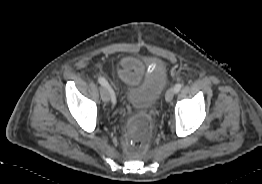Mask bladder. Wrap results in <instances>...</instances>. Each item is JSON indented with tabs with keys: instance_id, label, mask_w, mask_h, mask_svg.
<instances>
[{
	"instance_id": "obj_1",
	"label": "bladder",
	"mask_w": 262,
	"mask_h": 184,
	"mask_svg": "<svg viewBox=\"0 0 262 184\" xmlns=\"http://www.w3.org/2000/svg\"><path fill=\"white\" fill-rule=\"evenodd\" d=\"M167 85L165 75H150L138 85L131 86L126 94L128 105L136 110L152 108Z\"/></svg>"
}]
</instances>
